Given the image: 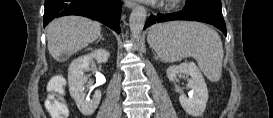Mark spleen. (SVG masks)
<instances>
[{
    "instance_id": "1",
    "label": "spleen",
    "mask_w": 273,
    "mask_h": 118,
    "mask_svg": "<svg viewBox=\"0 0 273 118\" xmlns=\"http://www.w3.org/2000/svg\"><path fill=\"white\" fill-rule=\"evenodd\" d=\"M148 43L164 62L192 57L210 81L221 78L223 45L218 33L204 24L179 21L156 24L150 28Z\"/></svg>"
}]
</instances>
